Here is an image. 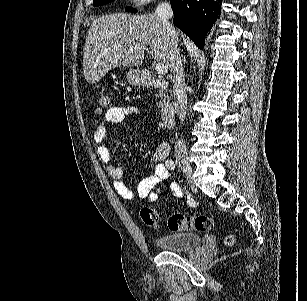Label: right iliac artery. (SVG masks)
I'll use <instances>...</instances> for the list:
<instances>
[{
	"mask_svg": "<svg viewBox=\"0 0 307 301\" xmlns=\"http://www.w3.org/2000/svg\"><path fill=\"white\" fill-rule=\"evenodd\" d=\"M166 166H167L169 169H171V170H174V169H175V163H174V161L171 160V159H168V160L166 161Z\"/></svg>",
	"mask_w": 307,
	"mask_h": 301,
	"instance_id": "obj_1",
	"label": "right iliac artery"
}]
</instances>
